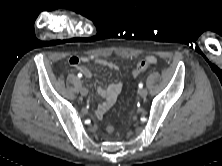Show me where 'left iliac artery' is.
<instances>
[{
  "label": "left iliac artery",
  "mask_w": 222,
  "mask_h": 166,
  "mask_svg": "<svg viewBox=\"0 0 222 166\" xmlns=\"http://www.w3.org/2000/svg\"><path fill=\"white\" fill-rule=\"evenodd\" d=\"M138 86H139V88H142V87H143V84H142V83H139Z\"/></svg>",
  "instance_id": "1"
}]
</instances>
